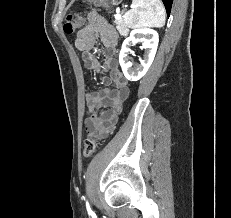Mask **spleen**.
<instances>
[{"instance_id":"spleen-1","label":"spleen","mask_w":231,"mask_h":218,"mask_svg":"<svg viewBox=\"0 0 231 218\" xmlns=\"http://www.w3.org/2000/svg\"><path fill=\"white\" fill-rule=\"evenodd\" d=\"M133 8L124 15L129 28L163 27L165 8L161 0H132Z\"/></svg>"}]
</instances>
